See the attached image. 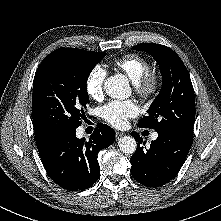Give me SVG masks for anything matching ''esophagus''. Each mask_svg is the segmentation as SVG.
Returning a JSON list of instances; mask_svg holds the SVG:
<instances>
[{
  "label": "esophagus",
  "mask_w": 221,
  "mask_h": 221,
  "mask_svg": "<svg viewBox=\"0 0 221 221\" xmlns=\"http://www.w3.org/2000/svg\"><path fill=\"white\" fill-rule=\"evenodd\" d=\"M125 134L123 132L120 131H116V138L120 139L121 137H123Z\"/></svg>",
  "instance_id": "esophagus-1"
}]
</instances>
